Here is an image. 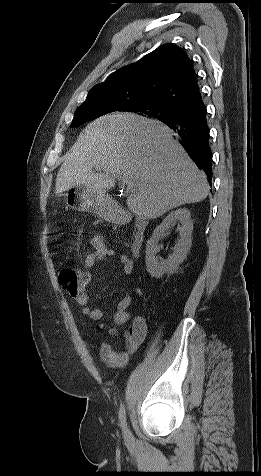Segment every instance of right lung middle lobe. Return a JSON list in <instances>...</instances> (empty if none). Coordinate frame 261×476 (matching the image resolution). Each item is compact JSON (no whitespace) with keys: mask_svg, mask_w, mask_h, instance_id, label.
I'll list each match as a JSON object with an SVG mask.
<instances>
[{"mask_svg":"<svg viewBox=\"0 0 261 476\" xmlns=\"http://www.w3.org/2000/svg\"><path fill=\"white\" fill-rule=\"evenodd\" d=\"M123 111L119 104H110L106 102H92L81 105L77 108L71 127L78 126L87 121L93 120L99 116L107 113ZM181 112V109L174 108L168 105H148L141 107L135 113L140 115L149 116L160 121L166 118L170 119Z\"/></svg>","mask_w":261,"mask_h":476,"instance_id":"dd1d6c3e","label":"right lung middle lobe"}]
</instances>
